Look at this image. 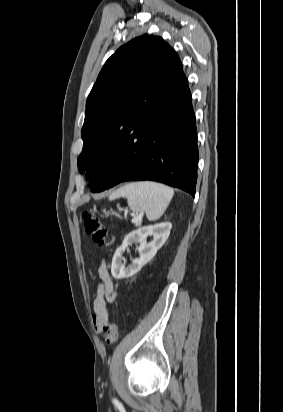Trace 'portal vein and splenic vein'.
I'll list each match as a JSON object with an SVG mask.
<instances>
[{
	"instance_id": "18ae733b",
	"label": "portal vein and splenic vein",
	"mask_w": 283,
	"mask_h": 412,
	"mask_svg": "<svg viewBox=\"0 0 283 412\" xmlns=\"http://www.w3.org/2000/svg\"><path fill=\"white\" fill-rule=\"evenodd\" d=\"M141 220H142V216L140 215V216L133 217L131 221L134 224H139Z\"/></svg>"
}]
</instances>
